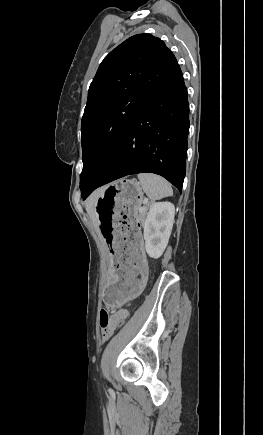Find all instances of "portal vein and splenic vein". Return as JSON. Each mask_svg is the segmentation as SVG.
Returning <instances> with one entry per match:
<instances>
[{
    "label": "portal vein and splenic vein",
    "instance_id": "18ae733b",
    "mask_svg": "<svg viewBox=\"0 0 263 435\" xmlns=\"http://www.w3.org/2000/svg\"><path fill=\"white\" fill-rule=\"evenodd\" d=\"M139 211L140 212L144 211V207H140Z\"/></svg>",
    "mask_w": 263,
    "mask_h": 435
}]
</instances>
